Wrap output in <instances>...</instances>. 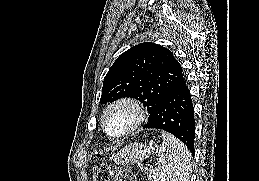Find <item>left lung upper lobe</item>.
<instances>
[{"label":"left lung upper lobe","mask_w":259,"mask_h":181,"mask_svg":"<svg viewBox=\"0 0 259 181\" xmlns=\"http://www.w3.org/2000/svg\"><path fill=\"white\" fill-rule=\"evenodd\" d=\"M181 76V65L170 50L144 42L116 59L104 78L100 103L136 98L147 107L150 122L165 94Z\"/></svg>","instance_id":"left-lung-upper-lobe-1"}]
</instances>
